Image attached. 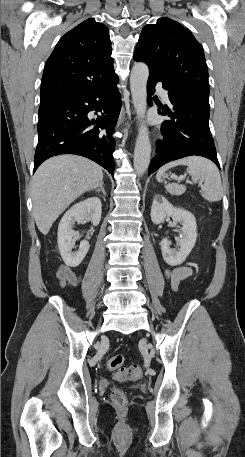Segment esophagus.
Here are the masks:
<instances>
[{
    "instance_id": "obj_1",
    "label": "esophagus",
    "mask_w": 245,
    "mask_h": 457,
    "mask_svg": "<svg viewBox=\"0 0 245 457\" xmlns=\"http://www.w3.org/2000/svg\"><path fill=\"white\" fill-rule=\"evenodd\" d=\"M122 122H124V114L123 113H121V115H120V119H119L118 125H120ZM126 125H130V124L128 122H126Z\"/></svg>"
}]
</instances>
